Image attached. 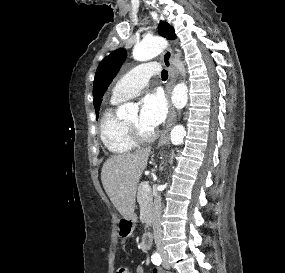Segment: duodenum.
<instances>
[{"label": "duodenum", "instance_id": "1", "mask_svg": "<svg viewBox=\"0 0 285 273\" xmlns=\"http://www.w3.org/2000/svg\"><path fill=\"white\" fill-rule=\"evenodd\" d=\"M152 234L150 232H145L142 236V244L145 250H148L151 246Z\"/></svg>", "mask_w": 285, "mask_h": 273}]
</instances>
